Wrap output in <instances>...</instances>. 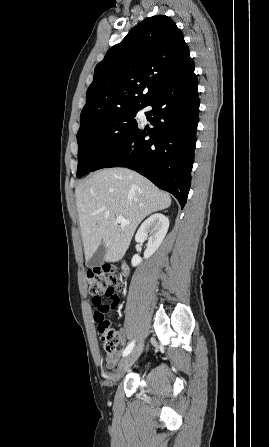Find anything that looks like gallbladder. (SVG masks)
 Segmentation results:
<instances>
[{"label":"gallbladder","mask_w":269,"mask_h":447,"mask_svg":"<svg viewBox=\"0 0 269 447\" xmlns=\"http://www.w3.org/2000/svg\"><path fill=\"white\" fill-rule=\"evenodd\" d=\"M106 253V247L104 243H100L99 247H97V251H95L93 257L86 261L87 267H98V265H102L104 261Z\"/></svg>","instance_id":"obj_1"}]
</instances>
